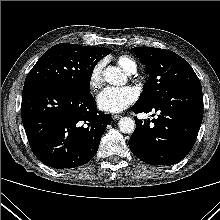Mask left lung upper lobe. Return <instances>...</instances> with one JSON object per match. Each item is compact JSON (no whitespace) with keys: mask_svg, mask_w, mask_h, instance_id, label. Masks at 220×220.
Segmentation results:
<instances>
[{"mask_svg":"<svg viewBox=\"0 0 220 220\" xmlns=\"http://www.w3.org/2000/svg\"><path fill=\"white\" fill-rule=\"evenodd\" d=\"M132 51L145 66L149 75L137 104H153L172 91L188 85L200 84L188 62L170 50L136 47L132 48Z\"/></svg>","mask_w":220,"mask_h":220,"instance_id":"1","label":"left lung upper lobe"}]
</instances>
